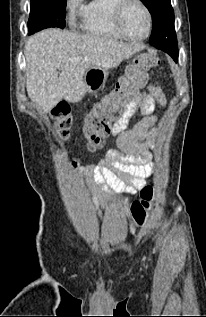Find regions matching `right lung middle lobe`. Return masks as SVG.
Segmentation results:
<instances>
[{"instance_id":"1","label":"right lung middle lobe","mask_w":206,"mask_h":317,"mask_svg":"<svg viewBox=\"0 0 206 317\" xmlns=\"http://www.w3.org/2000/svg\"><path fill=\"white\" fill-rule=\"evenodd\" d=\"M67 0H31L28 20L29 34L45 28H64Z\"/></svg>"}]
</instances>
